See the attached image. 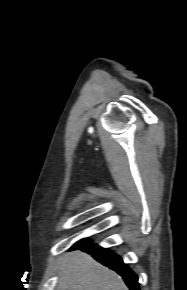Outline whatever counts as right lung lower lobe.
I'll return each instance as SVG.
<instances>
[{
  "mask_svg": "<svg viewBox=\"0 0 187 290\" xmlns=\"http://www.w3.org/2000/svg\"><path fill=\"white\" fill-rule=\"evenodd\" d=\"M73 248L87 251L97 261L116 271L122 276L130 290H140L137 275L123 263V260L117 254L112 253L108 249L90 244L89 242L75 245Z\"/></svg>",
  "mask_w": 187,
  "mask_h": 290,
  "instance_id": "98d812e1",
  "label": "right lung lower lobe"
}]
</instances>
